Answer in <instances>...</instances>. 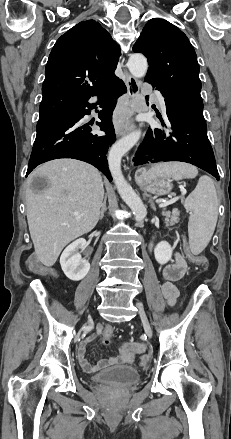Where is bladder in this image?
Masks as SVG:
<instances>
[{
    "instance_id": "31cf9c89",
    "label": "bladder",
    "mask_w": 231,
    "mask_h": 439,
    "mask_svg": "<svg viewBox=\"0 0 231 439\" xmlns=\"http://www.w3.org/2000/svg\"><path fill=\"white\" fill-rule=\"evenodd\" d=\"M140 379L138 370L128 365H119L101 371L91 377V380L99 384H113L130 386Z\"/></svg>"
}]
</instances>
